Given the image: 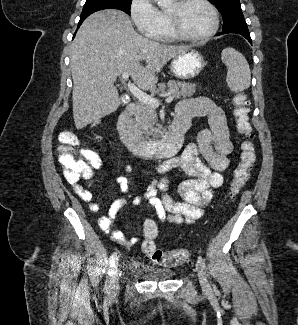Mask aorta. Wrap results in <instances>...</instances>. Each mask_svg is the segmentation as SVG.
I'll use <instances>...</instances> for the list:
<instances>
[{
  "instance_id": "1",
  "label": "aorta",
  "mask_w": 298,
  "mask_h": 325,
  "mask_svg": "<svg viewBox=\"0 0 298 325\" xmlns=\"http://www.w3.org/2000/svg\"><path fill=\"white\" fill-rule=\"evenodd\" d=\"M152 2H156L160 8H170V6H173L175 0H152Z\"/></svg>"
}]
</instances>
